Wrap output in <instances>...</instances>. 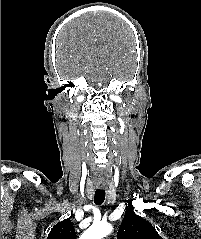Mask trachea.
Returning a JSON list of instances; mask_svg holds the SVG:
<instances>
[{
    "mask_svg": "<svg viewBox=\"0 0 201 239\" xmlns=\"http://www.w3.org/2000/svg\"><path fill=\"white\" fill-rule=\"evenodd\" d=\"M105 200V190L97 189L95 191L94 203L96 205H101Z\"/></svg>",
    "mask_w": 201,
    "mask_h": 239,
    "instance_id": "3493384b",
    "label": "trachea"
}]
</instances>
